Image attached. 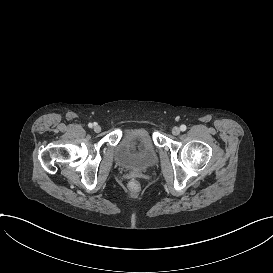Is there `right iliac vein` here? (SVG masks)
<instances>
[{
	"label": "right iliac vein",
	"mask_w": 273,
	"mask_h": 273,
	"mask_svg": "<svg viewBox=\"0 0 273 273\" xmlns=\"http://www.w3.org/2000/svg\"><path fill=\"white\" fill-rule=\"evenodd\" d=\"M93 129L96 133H99L101 131V127L99 125H95Z\"/></svg>",
	"instance_id": "right-iliac-vein-1"
}]
</instances>
